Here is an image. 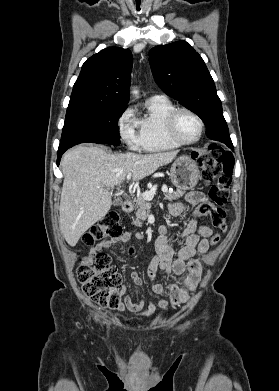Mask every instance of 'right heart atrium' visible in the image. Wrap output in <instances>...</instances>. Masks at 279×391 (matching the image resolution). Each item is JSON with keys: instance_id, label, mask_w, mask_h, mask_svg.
Listing matches in <instances>:
<instances>
[{"instance_id": "d8ad5b80", "label": "right heart atrium", "mask_w": 279, "mask_h": 391, "mask_svg": "<svg viewBox=\"0 0 279 391\" xmlns=\"http://www.w3.org/2000/svg\"><path fill=\"white\" fill-rule=\"evenodd\" d=\"M117 129L122 142L130 149L139 148V125L134 109L128 106L122 110L117 118Z\"/></svg>"}]
</instances>
